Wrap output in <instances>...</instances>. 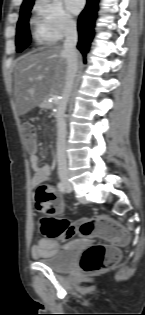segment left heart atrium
<instances>
[{"label":"left heart atrium","mask_w":145,"mask_h":315,"mask_svg":"<svg viewBox=\"0 0 145 315\" xmlns=\"http://www.w3.org/2000/svg\"><path fill=\"white\" fill-rule=\"evenodd\" d=\"M66 7L72 14H77L84 6L85 0H65Z\"/></svg>","instance_id":"1"}]
</instances>
